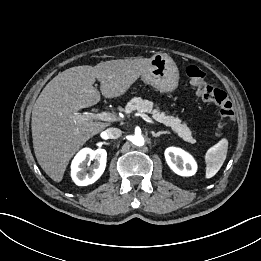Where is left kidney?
Masks as SVG:
<instances>
[{"mask_svg": "<svg viewBox=\"0 0 261 261\" xmlns=\"http://www.w3.org/2000/svg\"><path fill=\"white\" fill-rule=\"evenodd\" d=\"M165 159L169 167L180 176H192L197 171L194 158L180 148H167L165 150Z\"/></svg>", "mask_w": 261, "mask_h": 261, "instance_id": "left-kidney-1", "label": "left kidney"}]
</instances>
